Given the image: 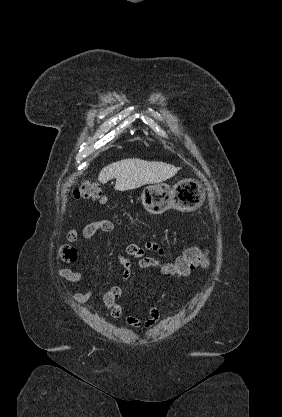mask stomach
<instances>
[{"instance_id": "0dacf381", "label": "stomach", "mask_w": 282, "mask_h": 417, "mask_svg": "<svg viewBox=\"0 0 282 417\" xmlns=\"http://www.w3.org/2000/svg\"><path fill=\"white\" fill-rule=\"evenodd\" d=\"M140 198L144 209L150 215H162L168 209H176L181 213H193L200 209L204 194L198 182L191 178H184L173 186L166 182L149 184L143 188Z\"/></svg>"}]
</instances>
